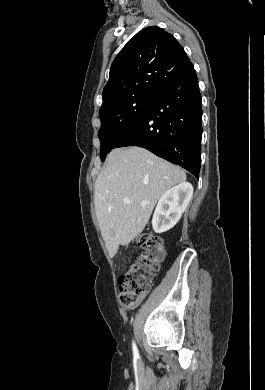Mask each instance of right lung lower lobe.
<instances>
[{"label":"right lung lower lobe","instance_id":"1","mask_svg":"<svg viewBox=\"0 0 265 390\" xmlns=\"http://www.w3.org/2000/svg\"><path fill=\"white\" fill-rule=\"evenodd\" d=\"M201 137V94L191 65L155 95L115 148H146L199 178Z\"/></svg>","mask_w":265,"mask_h":390}]
</instances>
